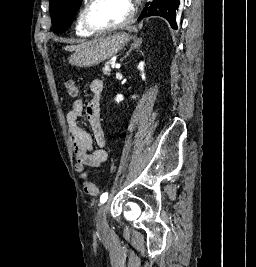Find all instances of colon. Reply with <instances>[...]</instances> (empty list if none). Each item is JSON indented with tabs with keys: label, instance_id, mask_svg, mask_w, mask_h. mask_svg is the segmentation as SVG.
<instances>
[{
	"label": "colon",
	"instance_id": "colon-1",
	"mask_svg": "<svg viewBox=\"0 0 256 267\" xmlns=\"http://www.w3.org/2000/svg\"><path fill=\"white\" fill-rule=\"evenodd\" d=\"M65 87H66L67 94L70 98H76L79 96L80 94L79 86L71 79H67L65 81ZM84 190L90 196H98L100 193L99 187L89 181L84 183Z\"/></svg>",
	"mask_w": 256,
	"mask_h": 267
}]
</instances>
